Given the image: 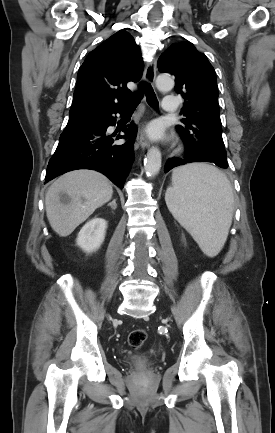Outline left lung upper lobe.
Masks as SVG:
<instances>
[{
    "instance_id": "left-lung-upper-lobe-1",
    "label": "left lung upper lobe",
    "mask_w": 275,
    "mask_h": 433,
    "mask_svg": "<svg viewBox=\"0 0 275 433\" xmlns=\"http://www.w3.org/2000/svg\"><path fill=\"white\" fill-rule=\"evenodd\" d=\"M158 68L175 76V90L185 99L181 113L186 118L177 130L188 157L227 168L216 74L207 57L190 42L172 44L161 54Z\"/></svg>"
}]
</instances>
